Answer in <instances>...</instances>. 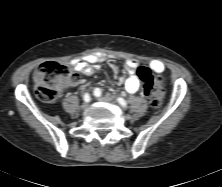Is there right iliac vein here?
I'll return each mask as SVG.
<instances>
[{
  "label": "right iliac vein",
  "instance_id": "obj_1",
  "mask_svg": "<svg viewBox=\"0 0 222 187\" xmlns=\"http://www.w3.org/2000/svg\"><path fill=\"white\" fill-rule=\"evenodd\" d=\"M88 106H89V103H88V102H84V103L82 104L81 108H82L83 110H85V109L88 108Z\"/></svg>",
  "mask_w": 222,
  "mask_h": 187
}]
</instances>
